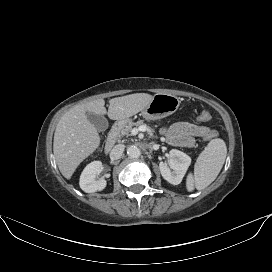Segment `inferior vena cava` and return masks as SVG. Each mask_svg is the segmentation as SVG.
<instances>
[{
    "mask_svg": "<svg viewBox=\"0 0 272 272\" xmlns=\"http://www.w3.org/2000/svg\"><path fill=\"white\" fill-rule=\"evenodd\" d=\"M124 149H125V145H123V144L115 145L114 148L110 152V158L112 160H117V159L121 158V156L124 152Z\"/></svg>",
    "mask_w": 272,
    "mask_h": 272,
    "instance_id": "inferior-vena-cava-1",
    "label": "inferior vena cava"
}]
</instances>
